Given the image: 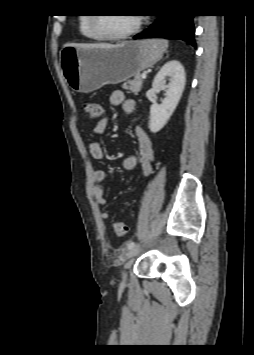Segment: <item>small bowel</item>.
I'll return each instance as SVG.
<instances>
[{
    "instance_id": "1",
    "label": "small bowel",
    "mask_w": 254,
    "mask_h": 355,
    "mask_svg": "<svg viewBox=\"0 0 254 355\" xmlns=\"http://www.w3.org/2000/svg\"><path fill=\"white\" fill-rule=\"evenodd\" d=\"M110 104L112 105H122L126 113H133L136 110V102L132 99H126L125 94L121 90H115L111 93L109 98ZM107 121L101 120L89 134V151L91 156L96 160L104 159V151L97 138L105 130ZM134 134L138 143V154L130 155L123 159L122 166L125 170H134L137 166L141 167L142 174L148 177L153 170L154 162V150L153 144L149 136L146 134L144 129L140 126L135 127ZM107 177V171L103 168H94L92 170V180L95 183H100L104 181ZM92 194L99 205H105L107 203V195L105 189L95 184L92 187ZM110 212L107 210H102L100 212V217L103 220H108L110 218Z\"/></svg>"
}]
</instances>
